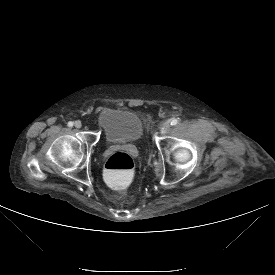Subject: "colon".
<instances>
[{
    "label": "colon",
    "mask_w": 275,
    "mask_h": 275,
    "mask_svg": "<svg viewBox=\"0 0 275 275\" xmlns=\"http://www.w3.org/2000/svg\"><path fill=\"white\" fill-rule=\"evenodd\" d=\"M134 167V160L128 153L124 151L115 152L105 161V179L113 186L124 188L133 178Z\"/></svg>",
    "instance_id": "1"
}]
</instances>
